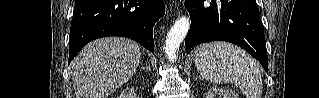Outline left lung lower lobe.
Wrapping results in <instances>:
<instances>
[{"label": "left lung lower lobe", "mask_w": 319, "mask_h": 98, "mask_svg": "<svg viewBox=\"0 0 319 98\" xmlns=\"http://www.w3.org/2000/svg\"><path fill=\"white\" fill-rule=\"evenodd\" d=\"M191 27L185 46L222 40L234 43L258 59L268 72L266 42L255 0H185Z\"/></svg>", "instance_id": "1"}]
</instances>
